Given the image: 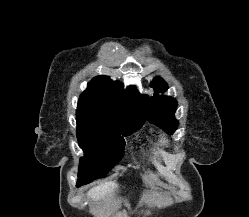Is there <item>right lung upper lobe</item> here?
Wrapping results in <instances>:
<instances>
[{
    "mask_svg": "<svg viewBox=\"0 0 249 217\" xmlns=\"http://www.w3.org/2000/svg\"><path fill=\"white\" fill-rule=\"evenodd\" d=\"M123 86L107 76H96L80 95L78 107L88 108L112 116L128 126L143 124L146 120L145 95L131 86Z\"/></svg>",
    "mask_w": 249,
    "mask_h": 217,
    "instance_id": "1",
    "label": "right lung upper lobe"
}]
</instances>
